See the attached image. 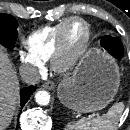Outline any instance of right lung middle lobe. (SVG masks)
<instances>
[{
    "label": "right lung middle lobe",
    "mask_w": 130,
    "mask_h": 130,
    "mask_svg": "<svg viewBox=\"0 0 130 130\" xmlns=\"http://www.w3.org/2000/svg\"><path fill=\"white\" fill-rule=\"evenodd\" d=\"M18 23L16 19L9 15L0 13V44L13 49L17 39Z\"/></svg>",
    "instance_id": "obj_1"
}]
</instances>
